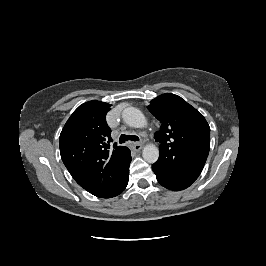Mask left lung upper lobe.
I'll return each instance as SVG.
<instances>
[{"label":"left lung upper lobe","instance_id":"left-lung-upper-lobe-1","mask_svg":"<svg viewBox=\"0 0 266 266\" xmlns=\"http://www.w3.org/2000/svg\"><path fill=\"white\" fill-rule=\"evenodd\" d=\"M148 110L162 123L155 133L160 156L153 164L165 175L194 182L210 149V127L194 107L174 94H163L150 102Z\"/></svg>","mask_w":266,"mask_h":266}]
</instances>
